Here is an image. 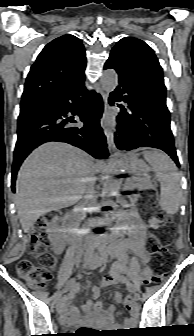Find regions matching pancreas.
Masks as SVG:
<instances>
[{
  "label": "pancreas",
  "instance_id": "1",
  "mask_svg": "<svg viewBox=\"0 0 194 336\" xmlns=\"http://www.w3.org/2000/svg\"><path fill=\"white\" fill-rule=\"evenodd\" d=\"M133 180V179H132ZM135 186L137 189H144L152 186V181L150 177H138L131 182L130 187ZM136 198H131V203L134 204ZM131 209H134V206H131Z\"/></svg>",
  "mask_w": 194,
  "mask_h": 336
}]
</instances>
